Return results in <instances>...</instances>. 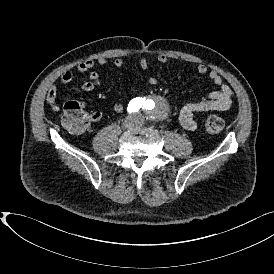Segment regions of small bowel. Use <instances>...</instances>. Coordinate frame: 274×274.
Listing matches in <instances>:
<instances>
[{
	"instance_id": "1",
	"label": "small bowel",
	"mask_w": 274,
	"mask_h": 274,
	"mask_svg": "<svg viewBox=\"0 0 274 274\" xmlns=\"http://www.w3.org/2000/svg\"><path fill=\"white\" fill-rule=\"evenodd\" d=\"M158 62L161 64H167L169 62V57L166 54H160L158 56ZM109 61L107 58L100 57L97 60H85L77 65V72L81 74L88 73V80L81 84V89L83 91H92L96 89L101 84L100 74L94 70L96 65L107 66ZM113 65L116 68H122L127 65V61L123 58H116L113 61ZM150 65V60L148 57H142L139 60V66L143 70H147ZM197 73L200 76H207L209 81L216 87V90L211 92L206 97L198 100L186 103L183 105L179 111V121L181 126L188 131H195L197 129V121L195 119L196 114L205 113L209 111H224L227 110L233 98V92L231 88L223 82L222 77L214 70H209L206 65L199 64L197 66ZM73 80V73L71 71L64 72L60 77V83L66 85ZM147 83L151 86H156L158 81L154 77H149ZM57 97V87L51 85L47 93V101L43 104V109L46 112H51L52 110H60V105L56 101ZM113 110L117 113L124 111V105L121 103H115L113 105ZM89 121L87 123L86 131L100 122L103 118L102 112L95 110L88 113ZM85 131V132H86Z\"/></svg>"
}]
</instances>
